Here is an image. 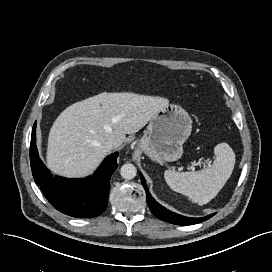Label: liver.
Returning <instances> with one entry per match:
<instances>
[{"label":"liver","mask_w":272,"mask_h":272,"mask_svg":"<svg viewBox=\"0 0 272 272\" xmlns=\"http://www.w3.org/2000/svg\"><path fill=\"white\" fill-rule=\"evenodd\" d=\"M168 104L162 97L103 92L68 106L50 129L48 168L68 178L90 174L109 154L108 138L122 145Z\"/></svg>","instance_id":"6515ba94"}]
</instances>
